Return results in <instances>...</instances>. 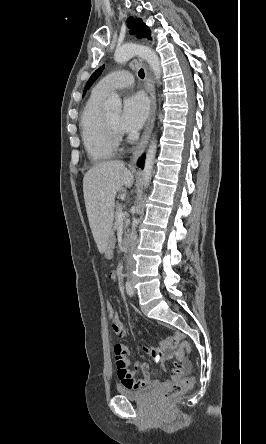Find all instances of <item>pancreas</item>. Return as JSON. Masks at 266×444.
Returning a JSON list of instances; mask_svg holds the SVG:
<instances>
[{
    "label": "pancreas",
    "instance_id": "pancreas-1",
    "mask_svg": "<svg viewBox=\"0 0 266 444\" xmlns=\"http://www.w3.org/2000/svg\"><path fill=\"white\" fill-rule=\"evenodd\" d=\"M119 211H122V206H121V204H117V205H116V212H115V229H117L118 226H119V222H118V218H117V214H118ZM123 220H124L123 228L126 229V228L128 227L129 220H128V218H126V217H124Z\"/></svg>",
    "mask_w": 266,
    "mask_h": 444
}]
</instances>
